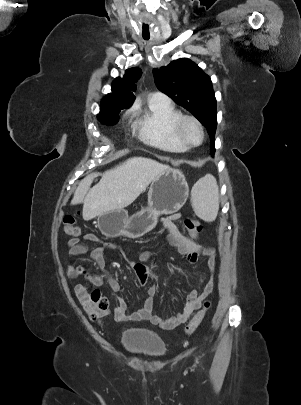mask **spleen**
<instances>
[{"mask_svg": "<svg viewBox=\"0 0 301 405\" xmlns=\"http://www.w3.org/2000/svg\"><path fill=\"white\" fill-rule=\"evenodd\" d=\"M191 200L199 218L209 222L215 220L219 209L216 179L212 175L201 178L192 188Z\"/></svg>", "mask_w": 301, "mask_h": 405, "instance_id": "3e777b00", "label": "spleen"}]
</instances>
